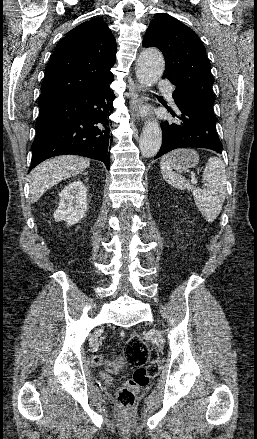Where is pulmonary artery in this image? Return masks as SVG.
I'll list each match as a JSON object with an SVG mask.
<instances>
[{"label":"pulmonary artery","mask_w":257,"mask_h":439,"mask_svg":"<svg viewBox=\"0 0 257 439\" xmlns=\"http://www.w3.org/2000/svg\"><path fill=\"white\" fill-rule=\"evenodd\" d=\"M157 88L162 91L167 100L173 101V87L166 80H159Z\"/></svg>","instance_id":"pulmonary-artery-1"}]
</instances>
